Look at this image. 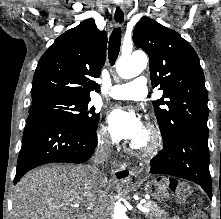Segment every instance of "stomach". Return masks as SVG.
Wrapping results in <instances>:
<instances>
[{"mask_svg": "<svg viewBox=\"0 0 221 219\" xmlns=\"http://www.w3.org/2000/svg\"><path fill=\"white\" fill-rule=\"evenodd\" d=\"M167 183H178V178H153L145 185L147 195H151L152 199L158 200L173 199V194H169V191H172V186H168ZM175 190L177 191L178 188Z\"/></svg>", "mask_w": 221, "mask_h": 219, "instance_id": "obj_1", "label": "stomach"}]
</instances>
